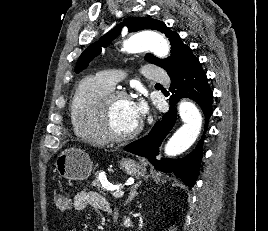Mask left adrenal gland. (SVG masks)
Masks as SVG:
<instances>
[{
    "label": "left adrenal gland",
    "mask_w": 268,
    "mask_h": 231,
    "mask_svg": "<svg viewBox=\"0 0 268 231\" xmlns=\"http://www.w3.org/2000/svg\"><path fill=\"white\" fill-rule=\"evenodd\" d=\"M140 184H141V181H139L138 183L134 184L130 188V193H129L128 199L126 200L124 205H127L128 203H130L138 195L137 189L140 186Z\"/></svg>",
    "instance_id": "a2214340"
}]
</instances>
